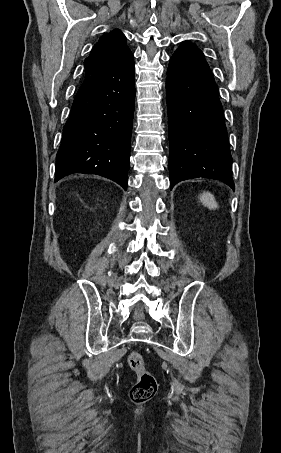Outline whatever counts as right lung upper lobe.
Masks as SVG:
<instances>
[{
  "mask_svg": "<svg viewBox=\"0 0 281 453\" xmlns=\"http://www.w3.org/2000/svg\"><path fill=\"white\" fill-rule=\"evenodd\" d=\"M129 52L126 37L120 30L104 34L85 59V76L105 70Z\"/></svg>",
  "mask_w": 281,
  "mask_h": 453,
  "instance_id": "1",
  "label": "right lung upper lobe"
}]
</instances>
